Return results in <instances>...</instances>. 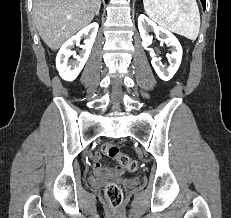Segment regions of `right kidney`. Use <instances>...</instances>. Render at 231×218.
<instances>
[{"label": "right kidney", "instance_id": "1", "mask_svg": "<svg viewBox=\"0 0 231 218\" xmlns=\"http://www.w3.org/2000/svg\"><path fill=\"white\" fill-rule=\"evenodd\" d=\"M98 28V23L93 22L62 45L56 57V67L61 78L73 81L79 75L89 57ZM82 36H87V39L84 41V45L80 46L82 50L79 52V55H76L71 49L75 44L79 45ZM71 56L75 60L69 61Z\"/></svg>", "mask_w": 231, "mask_h": 218}]
</instances>
